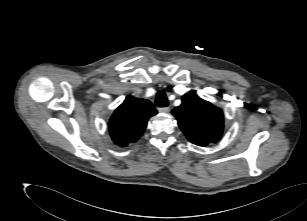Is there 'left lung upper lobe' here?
I'll list each match as a JSON object with an SVG mask.
<instances>
[{
    "mask_svg": "<svg viewBox=\"0 0 307 221\" xmlns=\"http://www.w3.org/2000/svg\"><path fill=\"white\" fill-rule=\"evenodd\" d=\"M178 125L194 144L206 146L217 142L223 133V113L208 101L185 94L182 104L172 110Z\"/></svg>",
    "mask_w": 307,
    "mask_h": 221,
    "instance_id": "5c2ea615",
    "label": "left lung upper lobe"
}]
</instances>
